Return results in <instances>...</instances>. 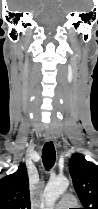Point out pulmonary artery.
<instances>
[{
    "label": "pulmonary artery",
    "instance_id": "pulmonary-artery-1",
    "mask_svg": "<svg viewBox=\"0 0 98 209\" xmlns=\"http://www.w3.org/2000/svg\"><path fill=\"white\" fill-rule=\"evenodd\" d=\"M77 204L76 197L73 194H65L62 199L56 204L55 209H70Z\"/></svg>",
    "mask_w": 98,
    "mask_h": 209
}]
</instances>
